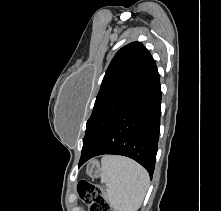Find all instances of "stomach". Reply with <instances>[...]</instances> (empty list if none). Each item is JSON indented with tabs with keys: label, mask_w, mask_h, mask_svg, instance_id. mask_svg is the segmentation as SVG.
I'll return each instance as SVG.
<instances>
[{
	"label": "stomach",
	"mask_w": 221,
	"mask_h": 211,
	"mask_svg": "<svg viewBox=\"0 0 221 211\" xmlns=\"http://www.w3.org/2000/svg\"><path fill=\"white\" fill-rule=\"evenodd\" d=\"M86 173L91 178H97L101 174V168L97 161H92L87 165Z\"/></svg>",
	"instance_id": "stomach-1"
}]
</instances>
